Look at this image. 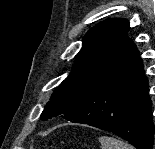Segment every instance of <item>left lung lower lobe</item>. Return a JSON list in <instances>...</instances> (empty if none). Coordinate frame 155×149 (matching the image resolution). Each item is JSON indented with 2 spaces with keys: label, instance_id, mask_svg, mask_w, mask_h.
Masks as SVG:
<instances>
[{
  "label": "left lung lower lobe",
  "instance_id": "left-lung-lower-lobe-1",
  "mask_svg": "<svg viewBox=\"0 0 155 149\" xmlns=\"http://www.w3.org/2000/svg\"><path fill=\"white\" fill-rule=\"evenodd\" d=\"M151 107L142 60L135 44L127 38L112 66L64 119L111 132L137 149H152Z\"/></svg>",
  "mask_w": 155,
  "mask_h": 149
}]
</instances>
